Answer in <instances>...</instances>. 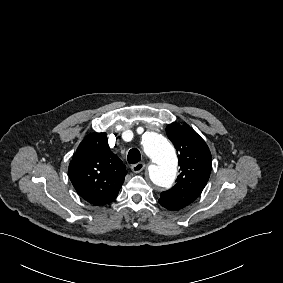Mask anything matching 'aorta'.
I'll return each instance as SVG.
<instances>
[{
    "instance_id": "762f6f07",
    "label": "aorta",
    "mask_w": 283,
    "mask_h": 283,
    "mask_svg": "<svg viewBox=\"0 0 283 283\" xmlns=\"http://www.w3.org/2000/svg\"><path fill=\"white\" fill-rule=\"evenodd\" d=\"M145 154L152 160L149 166L151 181L160 187L169 188L175 181L178 159L173 145L164 136L148 132L142 139Z\"/></svg>"
}]
</instances>
